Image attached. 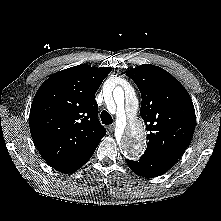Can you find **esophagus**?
I'll list each match as a JSON object with an SVG mask.
<instances>
[{"mask_svg": "<svg viewBox=\"0 0 221 221\" xmlns=\"http://www.w3.org/2000/svg\"><path fill=\"white\" fill-rule=\"evenodd\" d=\"M114 129H115V126H114V125H109V126H108V130H109L110 132H113Z\"/></svg>", "mask_w": 221, "mask_h": 221, "instance_id": "1", "label": "esophagus"}]
</instances>
